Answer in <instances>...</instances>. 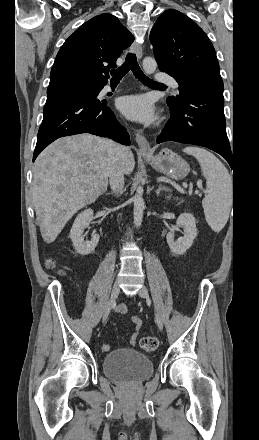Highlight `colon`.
Instances as JSON below:
<instances>
[{
  "mask_svg": "<svg viewBox=\"0 0 259 440\" xmlns=\"http://www.w3.org/2000/svg\"><path fill=\"white\" fill-rule=\"evenodd\" d=\"M47 266L51 269L55 268V262L52 259L47 261ZM140 346L146 352H153L158 348V340L156 337L147 336L140 340Z\"/></svg>",
  "mask_w": 259,
  "mask_h": 440,
  "instance_id": "obj_1",
  "label": "colon"
}]
</instances>
